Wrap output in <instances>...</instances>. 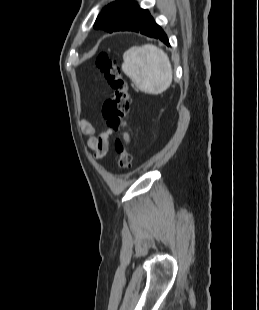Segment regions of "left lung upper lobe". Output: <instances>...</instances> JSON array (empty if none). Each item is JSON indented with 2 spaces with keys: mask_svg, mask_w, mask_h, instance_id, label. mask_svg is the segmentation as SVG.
I'll list each match as a JSON object with an SVG mask.
<instances>
[{
  "mask_svg": "<svg viewBox=\"0 0 259 310\" xmlns=\"http://www.w3.org/2000/svg\"><path fill=\"white\" fill-rule=\"evenodd\" d=\"M138 4L133 0L124 1L117 0L111 2L102 9V12L98 15L94 28L103 29L111 33L120 21L132 10L138 8Z\"/></svg>",
  "mask_w": 259,
  "mask_h": 310,
  "instance_id": "1",
  "label": "left lung upper lobe"
}]
</instances>
